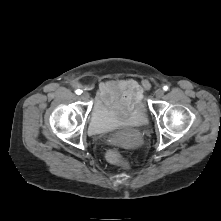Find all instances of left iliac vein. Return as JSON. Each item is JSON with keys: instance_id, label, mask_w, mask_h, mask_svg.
I'll return each instance as SVG.
<instances>
[{"instance_id": "1", "label": "left iliac vein", "mask_w": 221, "mask_h": 221, "mask_svg": "<svg viewBox=\"0 0 221 221\" xmlns=\"http://www.w3.org/2000/svg\"><path fill=\"white\" fill-rule=\"evenodd\" d=\"M163 95H164V91L162 89L156 90L155 96H156L157 99L162 98Z\"/></svg>"}]
</instances>
